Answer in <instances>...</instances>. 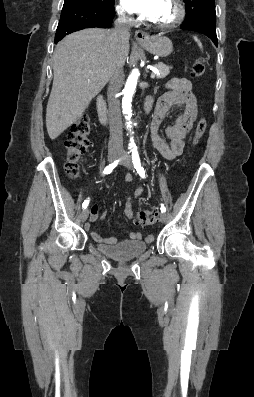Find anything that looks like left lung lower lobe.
I'll list each match as a JSON object with an SVG mask.
<instances>
[{"mask_svg": "<svg viewBox=\"0 0 254 397\" xmlns=\"http://www.w3.org/2000/svg\"><path fill=\"white\" fill-rule=\"evenodd\" d=\"M204 1H192L186 6V16L181 29L193 30L208 36L218 46L216 36V12L215 7L201 9L198 7ZM193 5V7H191ZM196 5V6H194Z\"/></svg>", "mask_w": 254, "mask_h": 397, "instance_id": "0a47b994", "label": "left lung lower lobe"}]
</instances>
